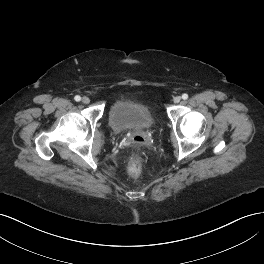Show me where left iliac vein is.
<instances>
[{"mask_svg":"<svg viewBox=\"0 0 264 264\" xmlns=\"http://www.w3.org/2000/svg\"><path fill=\"white\" fill-rule=\"evenodd\" d=\"M181 101V97L180 96H176L175 98H174V103H179Z\"/></svg>","mask_w":264,"mask_h":264,"instance_id":"4c4485c4","label":"left iliac vein"}]
</instances>
